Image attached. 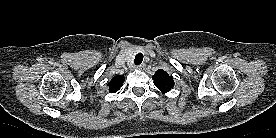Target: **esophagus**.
<instances>
[{"mask_svg":"<svg viewBox=\"0 0 276 138\" xmlns=\"http://www.w3.org/2000/svg\"><path fill=\"white\" fill-rule=\"evenodd\" d=\"M145 67H146V65H145L144 63L137 66V68H138L139 70H144Z\"/></svg>","mask_w":276,"mask_h":138,"instance_id":"1","label":"esophagus"}]
</instances>
